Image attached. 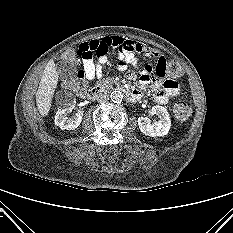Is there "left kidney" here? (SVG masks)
<instances>
[{"label": "left kidney", "instance_id": "1", "mask_svg": "<svg viewBox=\"0 0 233 233\" xmlns=\"http://www.w3.org/2000/svg\"><path fill=\"white\" fill-rule=\"evenodd\" d=\"M151 113L157 116L159 120L151 123L149 118L139 117L138 125L140 131L150 137L167 135L171 127V120L166 108L156 105L152 107Z\"/></svg>", "mask_w": 233, "mask_h": 233}]
</instances>
